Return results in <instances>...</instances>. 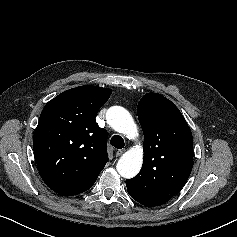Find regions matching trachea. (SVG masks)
<instances>
[{
  "mask_svg": "<svg viewBox=\"0 0 237 237\" xmlns=\"http://www.w3.org/2000/svg\"><path fill=\"white\" fill-rule=\"evenodd\" d=\"M110 144L117 149H122L124 147V139L120 135H114L110 140Z\"/></svg>",
  "mask_w": 237,
  "mask_h": 237,
  "instance_id": "obj_1",
  "label": "trachea"
}]
</instances>
